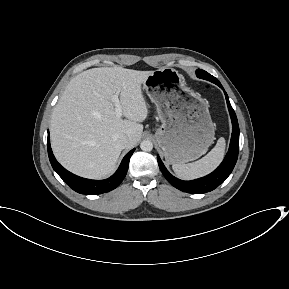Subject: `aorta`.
Masks as SVG:
<instances>
[{"label": "aorta", "instance_id": "1", "mask_svg": "<svg viewBox=\"0 0 289 289\" xmlns=\"http://www.w3.org/2000/svg\"><path fill=\"white\" fill-rule=\"evenodd\" d=\"M141 150L149 152L153 149V143L150 140H143L140 144Z\"/></svg>", "mask_w": 289, "mask_h": 289}]
</instances>
